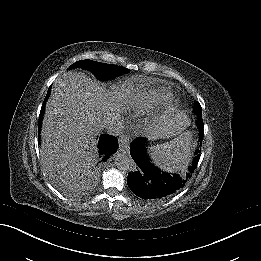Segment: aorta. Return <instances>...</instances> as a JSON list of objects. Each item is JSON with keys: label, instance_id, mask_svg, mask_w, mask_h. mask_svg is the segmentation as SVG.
<instances>
[{"label": "aorta", "instance_id": "obj_1", "mask_svg": "<svg viewBox=\"0 0 261 261\" xmlns=\"http://www.w3.org/2000/svg\"><path fill=\"white\" fill-rule=\"evenodd\" d=\"M116 165L125 172H135L137 166L129 154L117 153L115 157Z\"/></svg>", "mask_w": 261, "mask_h": 261}]
</instances>
